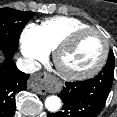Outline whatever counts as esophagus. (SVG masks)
<instances>
[{
  "instance_id": "1",
  "label": "esophagus",
  "mask_w": 117,
  "mask_h": 117,
  "mask_svg": "<svg viewBox=\"0 0 117 117\" xmlns=\"http://www.w3.org/2000/svg\"><path fill=\"white\" fill-rule=\"evenodd\" d=\"M30 87L38 94H45L46 92H56L58 84L46 73H39L34 75L29 83Z\"/></svg>"
}]
</instances>
